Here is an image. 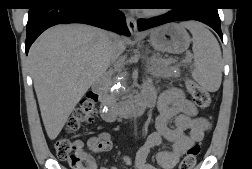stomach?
<instances>
[{"label":"stomach","mask_w":252,"mask_h":169,"mask_svg":"<svg viewBox=\"0 0 252 169\" xmlns=\"http://www.w3.org/2000/svg\"><path fill=\"white\" fill-rule=\"evenodd\" d=\"M149 41L159 51L180 54L188 49L191 40L183 25L169 23L154 29Z\"/></svg>","instance_id":"0dacf381"}]
</instances>
